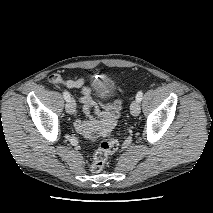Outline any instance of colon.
I'll return each mask as SVG.
<instances>
[{
	"label": "colon",
	"instance_id": "5ec220e1",
	"mask_svg": "<svg viewBox=\"0 0 213 213\" xmlns=\"http://www.w3.org/2000/svg\"><path fill=\"white\" fill-rule=\"evenodd\" d=\"M118 142L112 136L108 134V138L103 141L94 153L90 169L93 172H100L110 155H112L118 149Z\"/></svg>",
	"mask_w": 213,
	"mask_h": 213
}]
</instances>
